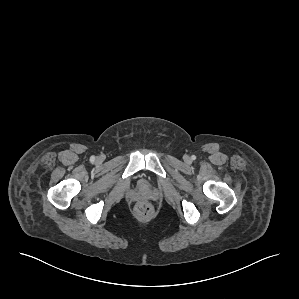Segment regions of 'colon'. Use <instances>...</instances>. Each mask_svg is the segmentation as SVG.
Instances as JSON below:
<instances>
[{
    "instance_id": "5ec220e1",
    "label": "colon",
    "mask_w": 299,
    "mask_h": 299,
    "mask_svg": "<svg viewBox=\"0 0 299 299\" xmlns=\"http://www.w3.org/2000/svg\"><path fill=\"white\" fill-rule=\"evenodd\" d=\"M135 212L141 218H147L151 216L153 207L147 200H141L135 205Z\"/></svg>"
}]
</instances>
